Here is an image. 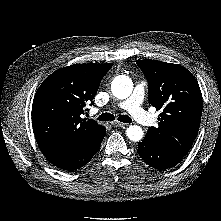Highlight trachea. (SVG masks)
<instances>
[{"label":"trachea","mask_w":221,"mask_h":221,"mask_svg":"<svg viewBox=\"0 0 221 221\" xmlns=\"http://www.w3.org/2000/svg\"><path fill=\"white\" fill-rule=\"evenodd\" d=\"M97 119L100 121H112V120H115V117H114V115H112L110 113H103ZM118 121L123 122V123H131L132 122L131 118L128 115H120L118 117Z\"/></svg>","instance_id":"trachea-1"}]
</instances>
